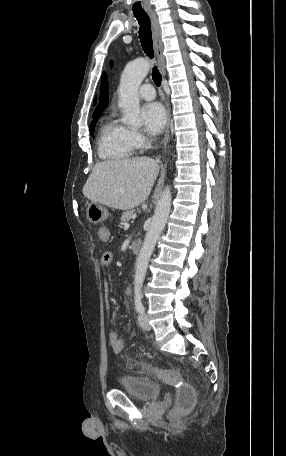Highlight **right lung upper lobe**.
I'll return each mask as SVG.
<instances>
[{
	"label": "right lung upper lobe",
	"instance_id": "1",
	"mask_svg": "<svg viewBox=\"0 0 286 456\" xmlns=\"http://www.w3.org/2000/svg\"><path fill=\"white\" fill-rule=\"evenodd\" d=\"M108 96H109V92H108L107 76L104 75L102 77V81H101V95H100L99 105L93 116L94 120L99 118L103 109L106 108V106L108 105Z\"/></svg>",
	"mask_w": 286,
	"mask_h": 456
}]
</instances>
